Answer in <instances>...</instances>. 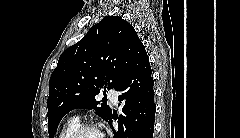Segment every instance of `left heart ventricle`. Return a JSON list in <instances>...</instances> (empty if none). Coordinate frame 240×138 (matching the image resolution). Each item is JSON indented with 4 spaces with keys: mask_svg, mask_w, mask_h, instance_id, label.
Returning <instances> with one entry per match:
<instances>
[{
    "mask_svg": "<svg viewBox=\"0 0 240 138\" xmlns=\"http://www.w3.org/2000/svg\"><path fill=\"white\" fill-rule=\"evenodd\" d=\"M80 138H103L102 134L98 131L88 130L82 133Z\"/></svg>",
    "mask_w": 240,
    "mask_h": 138,
    "instance_id": "obj_1",
    "label": "left heart ventricle"
}]
</instances>
